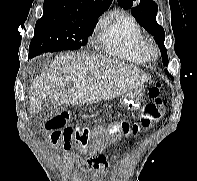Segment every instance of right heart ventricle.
<instances>
[{"mask_svg":"<svg viewBox=\"0 0 197 181\" xmlns=\"http://www.w3.org/2000/svg\"><path fill=\"white\" fill-rule=\"evenodd\" d=\"M145 42L144 32L136 19L126 13H117L101 21L96 46L106 55L144 64L149 61Z\"/></svg>","mask_w":197,"mask_h":181,"instance_id":"right-heart-ventricle-1","label":"right heart ventricle"}]
</instances>
